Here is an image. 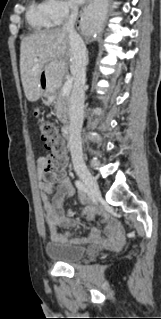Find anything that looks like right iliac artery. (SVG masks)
Returning a JSON list of instances; mask_svg holds the SVG:
<instances>
[{
    "label": "right iliac artery",
    "instance_id": "obj_1",
    "mask_svg": "<svg viewBox=\"0 0 161 319\" xmlns=\"http://www.w3.org/2000/svg\"><path fill=\"white\" fill-rule=\"evenodd\" d=\"M75 185H76V187L78 188L79 191H81V192H86L87 191L86 185L82 181L76 180L75 181Z\"/></svg>",
    "mask_w": 161,
    "mask_h": 319
}]
</instances>
